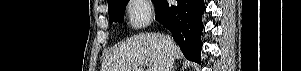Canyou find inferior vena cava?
I'll list each match as a JSON object with an SVG mask.
<instances>
[{
    "instance_id": "obj_1",
    "label": "inferior vena cava",
    "mask_w": 301,
    "mask_h": 71,
    "mask_svg": "<svg viewBox=\"0 0 301 71\" xmlns=\"http://www.w3.org/2000/svg\"><path fill=\"white\" fill-rule=\"evenodd\" d=\"M165 37H166L167 44L170 47L172 44V39L169 35H166ZM172 65H173V58L171 56L170 51H168L165 54L161 71H171Z\"/></svg>"
}]
</instances>
